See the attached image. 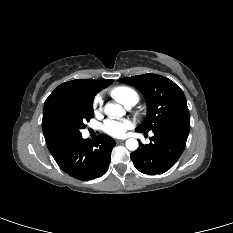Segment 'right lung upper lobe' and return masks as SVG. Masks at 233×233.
Returning <instances> with one entry per match:
<instances>
[{
	"label": "right lung upper lobe",
	"instance_id": "1",
	"mask_svg": "<svg viewBox=\"0 0 233 233\" xmlns=\"http://www.w3.org/2000/svg\"><path fill=\"white\" fill-rule=\"evenodd\" d=\"M113 80H72L59 85L46 99L43 110L42 127L45 136L46 126L51 113L60 105L73 100L78 96H92L107 87ZM52 149V148H51Z\"/></svg>",
	"mask_w": 233,
	"mask_h": 233
}]
</instances>
